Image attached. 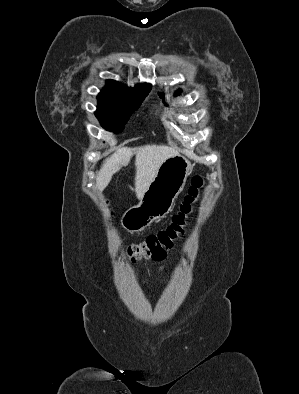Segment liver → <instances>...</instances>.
I'll list each match as a JSON object with an SVG mask.
<instances>
[{"label": "liver", "instance_id": "obj_1", "mask_svg": "<svg viewBox=\"0 0 299 394\" xmlns=\"http://www.w3.org/2000/svg\"><path fill=\"white\" fill-rule=\"evenodd\" d=\"M177 154L178 151L166 145L122 147L103 162L96 177V187L99 191H103L110 183L112 176L122 167L127 166L132 156L135 155V192L137 198L142 199L161 164Z\"/></svg>", "mask_w": 299, "mask_h": 394}]
</instances>
